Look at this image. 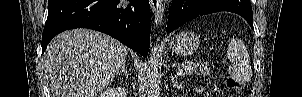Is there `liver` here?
I'll return each mask as SVG.
<instances>
[{
    "instance_id": "6515ba94",
    "label": "liver",
    "mask_w": 302,
    "mask_h": 97,
    "mask_svg": "<svg viewBox=\"0 0 302 97\" xmlns=\"http://www.w3.org/2000/svg\"><path fill=\"white\" fill-rule=\"evenodd\" d=\"M127 54L125 45L97 31L57 35L43 56L53 97H94L114 79Z\"/></svg>"
}]
</instances>
